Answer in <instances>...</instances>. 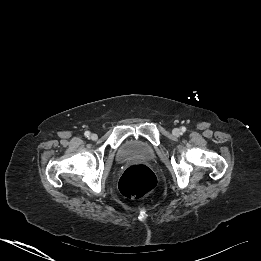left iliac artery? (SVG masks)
Returning <instances> with one entry per match:
<instances>
[{"instance_id":"left-iliac-artery-1","label":"left iliac artery","mask_w":261,"mask_h":261,"mask_svg":"<svg viewBox=\"0 0 261 261\" xmlns=\"http://www.w3.org/2000/svg\"><path fill=\"white\" fill-rule=\"evenodd\" d=\"M181 130H182V132H185V131H186V128H185V127H182Z\"/></svg>"}]
</instances>
